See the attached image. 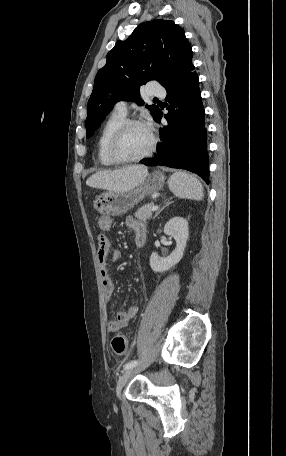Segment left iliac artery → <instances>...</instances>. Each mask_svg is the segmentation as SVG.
<instances>
[{
  "label": "left iliac artery",
  "mask_w": 286,
  "mask_h": 456,
  "mask_svg": "<svg viewBox=\"0 0 286 456\" xmlns=\"http://www.w3.org/2000/svg\"><path fill=\"white\" fill-rule=\"evenodd\" d=\"M137 363H138L137 360L130 361V362H128V363H126L124 365V369L126 370V369H129V368H133V367H135L137 365Z\"/></svg>",
  "instance_id": "left-iliac-artery-1"
}]
</instances>
